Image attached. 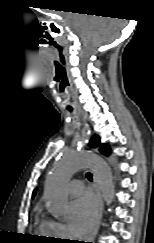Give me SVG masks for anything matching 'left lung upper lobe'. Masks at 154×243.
<instances>
[{
  "label": "left lung upper lobe",
  "instance_id": "5c2ea615",
  "mask_svg": "<svg viewBox=\"0 0 154 243\" xmlns=\"http://www.w3.org/2000/svg\"><path fill=\"white\" fill-rule=\"evenodd\" d=\"M100 145V137L98 135H94L91 140V146L97 147ZM100 152L104 155H108L109 152V146L105 143L101 145Z\"/></svg>",
  "mask_w": 154,
  "mask_h": 243
}]
</instances>
